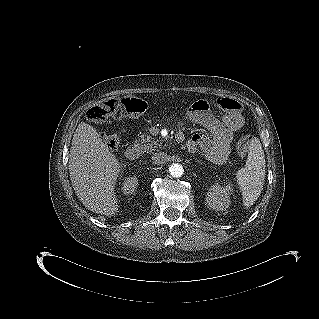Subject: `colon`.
<instances>
[{
	"mask_svg": "<svg viewBox=\"0 0 319 319\" xmlns=\"http://www.w3.org/2000/svg\"><path fill=\"white\" fill-rule=\"evenodd\" d=\"M216 105L226 111L238 112L242 105L235 99L219 98ZM146 103L137 98L123 97L120 99H111L101 104L91 107L87 111V118L94 123H103L109 118L120 119L123 116H136L146 110ZM125 129L118 130L114 133L104 136L105 145L109 149H115L120 143L121 137ZM252 143L250 136L244 137L237 145L236 151L239 155H244Z\"/></svg>",
	"mask_w": 319,
	"mask_h": 319,
	"instance_id": "5ec220e1",
	"label": "colon"
}]
</instances>
